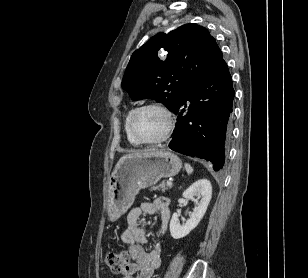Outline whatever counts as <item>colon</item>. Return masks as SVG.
Returning <instances> with one entry per match:
<instances>
[{"label": "colon", "instance_id": "colon-1", "mask_svg": "<svg viewBox=\"0 0 308 278\" xmlns=\"http://www.w3.org/2000/svg\"><path fill=\"white\" fill-rule=\"evenodd\" d=\"M129 258L127 252H111L106 256L105 263L113 273L119 274L123 272Z\"/></svg>", "mask_w": 308, "mask_h": 278}]
</instances>
